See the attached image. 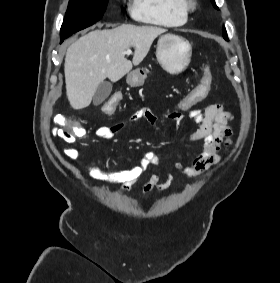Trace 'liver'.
I'll list each match as a JSON object with an SVG mask.
<instances>
[{"mask_svg": "<svg viewBox=\"0 0 280 283\" xmlns=\"http://www.w3.org/2000/svg\"><path fill=\"white\" fill-rule=\"evenodd\" d=\"M167 30L156 26L121 25L110 30H95L70 45L64 72L66 94L73 109L88 107L100 83L106 78L117 82L139 65L153 41ZM135 48L132 61L126 50Z\"/></svg>", "mask_w": 280, "mask_h": 283, "instance_id": "liver-1", "label": "liver"}]
</instances>
